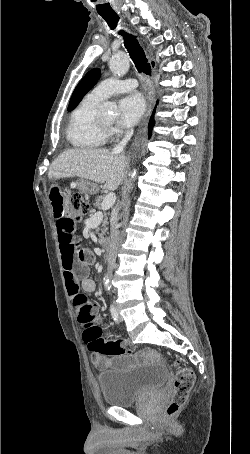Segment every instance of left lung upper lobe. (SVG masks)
<instances>
[{
	"label": "left lung upper lobe",
	"instance_id": "obj_1",
	"mask_svg": "<svg viewBox=\"0 0 250 454\" xmlns=\"http://www.w3.org/2000/svg\"><path fill=\"white\" fill-rule=\"evenodd\" d=\"M99 77V69H92L84 76V78L76 86L71 96L68 111L73 110L79 104L84 95L97 83Z\"/></svg>",
	"mask_w": 250,
	"mask_h": 454
}]
</instances>
